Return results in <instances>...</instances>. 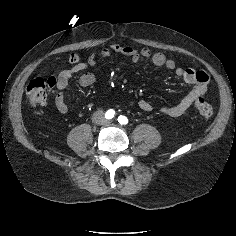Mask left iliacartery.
<instances>
[{
  "mask_svg": "<svg viewBox=\"0 0 236 236\" xmlns=\"http://www.w3.org/2000/svg\"><path fill=\"white\" fill-rule=\"evenodd\" d=\"M118 122L120 124L125 125L128 123V118L126 116L120 115V116H118Z\"/></svg>",
  "mask_w": 236,
  "mask_h": 236,
  "instance_id": "44dca946",
  "label": "left iliac artery"
}]
</instances>
